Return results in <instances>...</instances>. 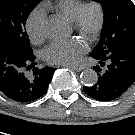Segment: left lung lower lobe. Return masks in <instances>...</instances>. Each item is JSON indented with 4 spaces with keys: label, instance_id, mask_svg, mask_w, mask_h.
Masks as SVG:
<instances>
[{
    "label": "left lung lower lobe",
    "instance_id": "obj_1",
    "mask_svg": "<svg viewBox=\"0 0 135 135\" xmlns=\"http://www.w3.org/2000/svg\"><path fill=\"white\" fill-rule=\"evenodd\" d=\"M99 60L102 67L94 66L98 81L93 86H84V92L100 101L119 98L135 81V46H121L106 55L90 54Z\"/></svg>",
    "mask_w": 135,
    "mask_h": 135
}]
</instances>
